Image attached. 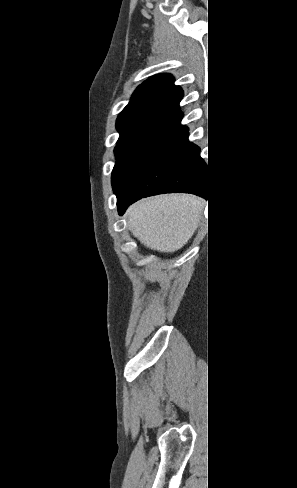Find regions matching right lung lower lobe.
<instances>
[{"instance_id": "right-lung-lower-lobe-1", "label": "right lung lower lobe", "mask_w": 297, "mask_h": 488, "mask_svg": "<svg viewBox=\"0 0 297 488\" xmlns=\"http://www.w3.org/2000/svg\"><path fill=\"white\" fill-rule=\"evenodd\" d=\"M188 129L176 133L152 160L129 193L117 199L119 214L142 197L162 193H192L207 199L209 185L200 148L188 141Z\"/></svg>"}]
</instances>
